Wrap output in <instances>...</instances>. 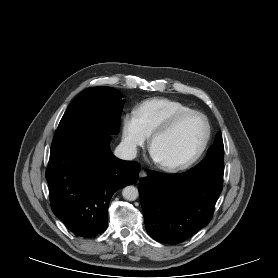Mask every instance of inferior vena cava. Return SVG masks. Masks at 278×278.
<instances>
[{
	"instance_id": "inferior-vena-cava-1",
	"label": "inferior vena cava",
	"mask_w": 278,
	"mask_h": 278,
	"mask_svg": "<svg viewBox=\"0 0 278 278\" xmlns=\"http://www.w3.org/2000/svg\"><path fill=\"white\" fill-rule=\"evenodd\" d=\"M114 154L122 160H133L137 155L136 145L121 142L115 149Z\"/></svg>"
}]
</instances>
